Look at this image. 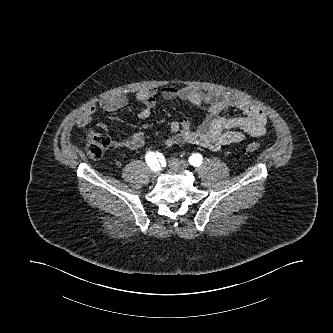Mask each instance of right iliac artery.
Returning <instances> with one entry per match:
<instances>
[{"mask_svg":"<svg viewBox=\"0 0 333 333\" xmlns=\"http://www.w3.org/2000/svg\"><path fill=\"white\" fill-rule=\"evenodd\" d=\"M146 162L152 170H160V163L163 164L164 157L161 153L148 152L146 154Z\"/></svg>","mask_w":333,"mask_h":333,"instance_id":"obj_1","label":"right iliac artery"}]
</instances>
